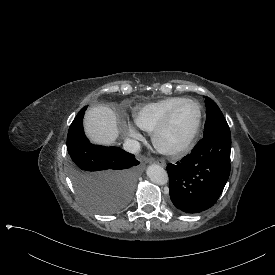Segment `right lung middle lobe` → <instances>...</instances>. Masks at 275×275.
Listing matches in <instances>:
<instances>
[{"label": "right lung middle lobe", "instance_id": "obj_1", "mask_svg": "<svg viewBox=\"0 0 275 275\" xmlns=\"http://www.w3.org/2000/svg\"><path fill=\"white\" fill-rule=\"evenodd\" d=\"M87 106L69 127V174L80 200L99 214H116L129 204L141 175L140 162L118 147L93 145L83 130Z\"/></svg>", "mask_w": 275, "mask_h": 275}]
</instances>
